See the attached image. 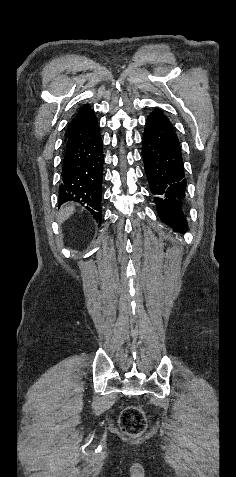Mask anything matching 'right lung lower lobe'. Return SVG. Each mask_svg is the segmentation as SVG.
<instances>
[{
	"label": "right lung lower lobe",
	"mask_w": 236,
	"mask_h": 477,
	"mask_svg": "<svg viewBox=\"0 0 236 477\" xmlns=\"http://www.w3.org/2000/svg\"><path fill=\"white\" fill-rule=\"evenodd\" d=\"M103 161L102 139L92 111L69 130L62 163L59 206L67 201L79 202L101 221Z\"/></svg>",
	"instance_id": "obj_1"
}]
</instances>
